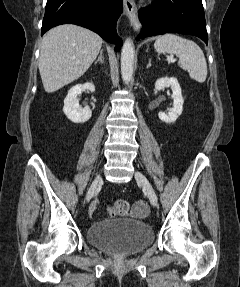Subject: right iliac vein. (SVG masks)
I'll list each match as a JSON object with an SVG mask.
<instances>
[{"label": "right iliac vein", "mask_w": 240, "mask_h": 287, "mask_svg": "<svg viewBox=\"0 0 240 287\" xmlns=\"http://www.w3.org/2000/svg\"><path fill=\"white\" fill-rule=\"evenodd\" d=\"M102 183V177L98 175L94 181L92 182V185L90 186L87 195H86V201H89L93 195L95 194L98 186Z\"/></svg>", "instance_id": "obj_1"}]
</instances>
